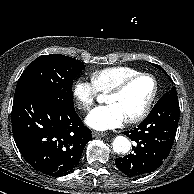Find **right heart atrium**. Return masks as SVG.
I'll list each match as a JSON object with an SVG mask.
<instances>
[{"label":"right heart atrium","mask_w":194,"mask_h":194,"mask_svg":"<svg viewBox=\"0 0 194 194\" xmlns=\"http://www.w3.org/2000/svg\"><path fill=\"white\" fill-rule=\"evenodd\" d=\"M72 97L76 106L82 111H89L94 105L97 91L93 84L84 78H78L72 86Z\"/></svg>","instance_id":"1"}]
</instances>
